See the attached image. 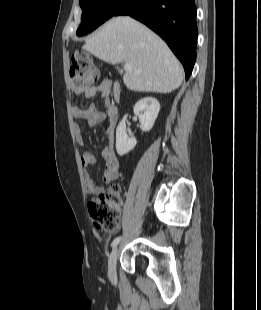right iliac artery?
<instances>
[{
	"label": "right iliac artery",
	"mask_w": 261,
	"mask_h": 310,
	"mask_svg": "<svg viewBox=\"0 0 261 310\" xmlns=\"http://www.w3.org/2000/svg\"><path fill=\"white\" fill-rule=\"evenodd\" d=\"M120 240H121V237H120V236H119V237H116V238L113 240L111 246L114 248V247L120 242Z\"/></svg>",
	"instance_id": "82829eb1"
}]
</instances>
